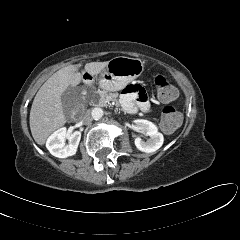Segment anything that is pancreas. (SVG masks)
Here are the masks:
<instances>
[{
	"label": "pancreas",
	"instance_id": "1",
	"mask_svg": "<svg viewBox=\"0 0 240 240\" xmlns=\"http://www.w3.org/2000/svg\"><path fill=\"white\" fill-rule=\"evenodd\" d=\"M96 94L98 96V101L95 105L107 107L109 105L108 93L106 91L98 90L96 91Z\"/></svg>",
	"mask_w": 240,
	"mask_h": 240
}]
</instances>
